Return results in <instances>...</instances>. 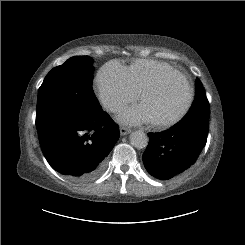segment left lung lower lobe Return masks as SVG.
Wrapping results in <instances>:
<instances>
[{
    "instance_id": "left-lung-lower-lobe-1",
    "label": "left lung lower lobe",
    "mask_w": 245,
    "mask_h": 245,
    "mask_svg": "<svg viewBox=\"0 0 245 245\" xmlns=\"http://www.w3.org/2000/svg\"><path fill=\"white\" fill-rule=\"evenodd\" d=\"M208 130L198 127H171L149 133L150 141L143 154L147 171L162 180L174 178L197 161L207 142Z\"/></svg>"
}]
</instances>
